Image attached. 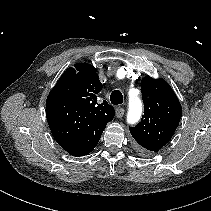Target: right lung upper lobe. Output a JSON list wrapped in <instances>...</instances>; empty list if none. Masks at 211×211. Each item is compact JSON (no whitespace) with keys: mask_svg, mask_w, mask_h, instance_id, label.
Here are the masks:
<instances>
[{"mask_svg":"<svg viewBox=\"0 0 211 211\" xmlns=\"http://www.w3.org/2000/svg\"><path fill=\"white\" fill-rule=\"evenodd\" d=\"M101 89L96 69L90 64H76L75 68L69 67L61 75L49 95L72 99L77 106L75 114L78 121H75L74 133L52 132L59 144L75 145L83 134L105 129L107 123L114 118V108L107 101L97 103L96 94Z\"/></svg>","mask_w":211,"mask_h":211,"instance_id":"right-lung-upper-lobe-1","label":"right lung upper lobe"}]
</instances>
